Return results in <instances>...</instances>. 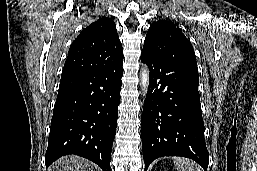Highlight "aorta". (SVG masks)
<instances>
[{
    "mask_svg": "<svg viewBox=\"0 0 257 171\" xmlns=\"http://www.w3.org/2000/svg\"><path fill=\"white\" fill-rule=\"evenodd\" d=\"M149 85V71L147 68H144L141 72V87L143 94L145 95Z\"/></svg>",
    "mask_w": 257,
    "mask_h": 171,
    "instance_id": "762f6f07",
    "label": "aorta"
}]
</instances>
